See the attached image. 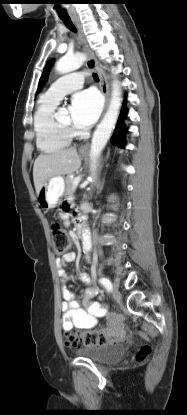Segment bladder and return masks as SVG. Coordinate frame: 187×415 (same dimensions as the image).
I'll use <instances>...</instances> for the list:
<instances>
[{"label":"bladder","mask_w":187,"mask_h":415,"mask_svg":"<svg viewBox=\"0 0 187 415\" xmlns=\"http://www.w3.org/2000/svg\"><path fill=\"white\" fill-rule=\"evenodd\" d=\"M126 351V343L116 342L103 347L78 348L74 353L99 364H109L121 359Z\"/></svg>","instance_id":"1"}]
</instances>
